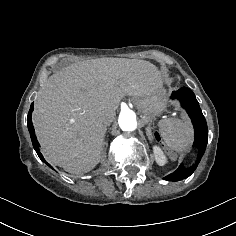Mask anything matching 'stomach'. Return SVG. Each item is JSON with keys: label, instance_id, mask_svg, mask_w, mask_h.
<instances>
[{"label": "stomach", "instance_id": "stomach-1", "mask_svg": "<svg viewBox=\"0 0 236 236\" xmlns=\"http://www.w3.org/2000/svg\"><path fill=\"white\" fill-rule=\"evenodd\" d=\"M143 104L147 111H152L153 113H160L166 107V91L163 86H157L155 91L143 98Z\"/></svg>", "mask_w": 236, "mask_h": 236}]
</instances>
